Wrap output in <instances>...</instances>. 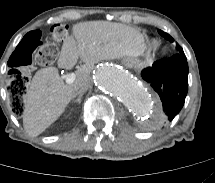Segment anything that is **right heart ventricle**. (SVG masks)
I'll use <instances>...</instances> for the list:
<instances>
[{"mask_svg":"<svg viewBox=\"0 0 215 183\" xmlns=\"http://www.w3.org/2000/svg\"><path fill=\"white\" fill-rule=\"evenodd\" d=\"M156 45H158V41L152 40V41H151V46H152V47H155Z\"/></svg>","mask_w":215,"mask_h":183,"instance_id":"1","label":"right heart ventricle"}]
</instances>
